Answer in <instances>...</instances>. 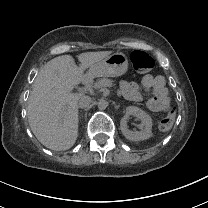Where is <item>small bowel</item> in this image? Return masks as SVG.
<instances>
[{
  "instance_id": "c3829d8e",
  "label": "small bowel",
  "mask_w": 208,
  "mask_h": 208,
  "mask_svg": "<svg viewBox=\"0 0 208 208\" xmlns=\"http://www.w3.org/2000/svg\"><path fill=\"white\" fill-rule=\"evenodd\" d=\"M151 92L146 101V106L151 112H168L171 108L169 92L163 76L143 75L136 81H122L121 91L126 99L140 102L143 99L142 92Z\"/></svg>"
}]
</instances>
